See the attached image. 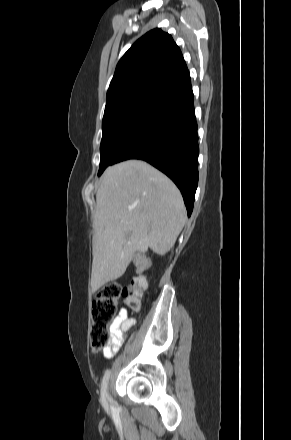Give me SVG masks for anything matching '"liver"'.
Segmentation results:
<instances>
[{
  "label": "liver",
  "mask_w": 291,
  "mask_h": 440,
  "mask_svg": "<svg viewBox=\"0 0 291 440\" xmlns=\"http://www.w3.org/2000/svg\"><path fill=\"white\" fill-rule=\"evenodd\" d=\"M185 222L181 193L159 170L141 160L108 167L96 194L92 291L121 277L137 251L165 255Z\"/></svg>",
  "instance_id": "6515ba94"
}]
</instances>
